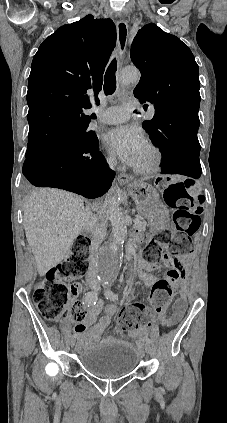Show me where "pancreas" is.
<instances>
[{"mask_svg": "<svg viewBox=\"0 0 227 423\" xmlns=\"http://www.w3.org/2000/svg\"><path fill=\"white\" fill-rule=\"evenodd\" d=\"M138 219H139V223H137V225H135L136 229H139V231H145L147 221H145L143 215H140V213L138 215Z\"/></svg>", "mask_w": 227, "mask_h": 423, "instance_id": "cf45deb5", "label": "pancreas"}]
</instances>
